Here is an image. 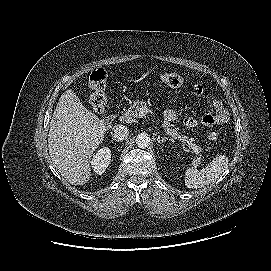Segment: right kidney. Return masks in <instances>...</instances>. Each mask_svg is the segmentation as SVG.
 I'll return each mask as SVG.
<instances>
[{"label":"right kidney","mask_w":271,"mask_h":271,"mask_svg":"<svg viewBox=\"0 0 271 271\" xmlns=\"http://www.w3.org/2000/svg\"><path fill=\"white\" fill-rule=\"evenodd\" d=\"M111 161V151L108 147H103L97 151L91 160V167L95 173L101 175L105 172L106 168Z\"/></svg>","instance_id":"obj_1"}]
</instances>
